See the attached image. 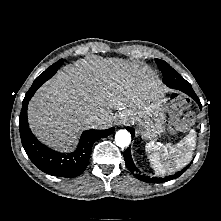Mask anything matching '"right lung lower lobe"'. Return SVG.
Here are the masks:
<instances>
[{
	"label": "right lung lower lobe",
	"mask_w": 221,
	"mask_h": 221,
	"mask_svg": "<svg viewBox=\"0 0 221 221\" xmlns=\"http://www.w3.org/2000/svg\"><path fill=\"white\" fill-rule=\"evenodd\" d=\"M58 68L45 72L38 76L31 88L26 93L22 103L19 117L20 136L23 148L33 164L41 171L60 177L79 176L87 167L91 148L97 139L106 137L114 132V127L106 130H87L81 135L77 149L72 153H59L42 144L31 132L27 122V106L35 91L49 78Z\"/></svg>",
	"instance_id": "98d812e1"
}]
</instances>
